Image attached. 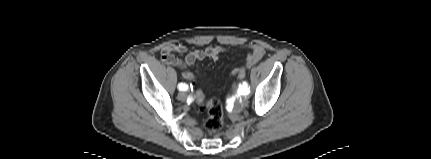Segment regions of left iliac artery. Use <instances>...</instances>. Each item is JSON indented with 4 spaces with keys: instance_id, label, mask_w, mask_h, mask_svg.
I'll return each instance as SVG.
<instances>
[{
    "instance_id": "obj_1",
    "label": "left iliac artery",
    "mask_w": 431,
    "mask_h": 159,
    "mask_svg": "<svg viewBox=\"0 0 431 159\" xmlns=\"http://www.w3.org/2000/svg\"><path fill=\"white\" fill-rule=\"evenodd\" d=\"M238 92H239L240 94H243V95H248V94L250 93V90H249V88H248V87L243 86V87H240V88H239Z\"/></svg>"
}]
</instances>
